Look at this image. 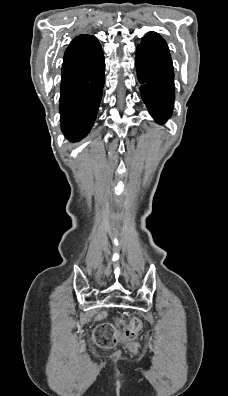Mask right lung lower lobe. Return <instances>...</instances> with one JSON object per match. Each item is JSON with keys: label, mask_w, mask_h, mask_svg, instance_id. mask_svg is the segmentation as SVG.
Segmentation results:
<instances>
[{"label": "right lung lower lobe", "mask_w": 228, "mask_h": 396, "mask_svg": "<svg viewBox=\"0 0 228 396\" xmlns=\"http://www.w3.org/2000/svg\"><path fill=\"white\" fill-rule=\"evenodd\" d=\"M75 39L65 51L60 88V121L71 141L85 137L96 119L104 86V55L100 43L81 47Z\"/></svg>", "instance_id": "1"}]
</instances>
